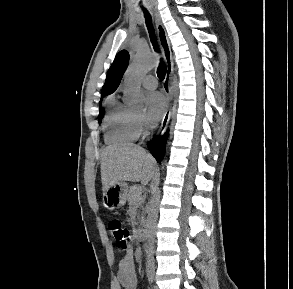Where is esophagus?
<instances>
[{
  "label": "esophagus",
  "instance_id": "obj_1",
  "mask_svg": "<svg viewBox=\"0 0 293 289\" xmlns=\"http://www.w3.org/2000/svg\"><path fill=\"white\" fill-rule=\"evenodd\" d=\"M155 24L157 28L159 43H160L163 56L166 62V66H167V71H166L165 79L163 82V90L167 99V110L162 119L160 129L158 131V137H161L165 133L171 118L172 100H173L172 75L174 70V59H173V54L171 51L170 42H169L166 30L157 14H155Z\"/></svg>",
  "mask_w": 293,
  "mask_h": 289
}]
</instances>
